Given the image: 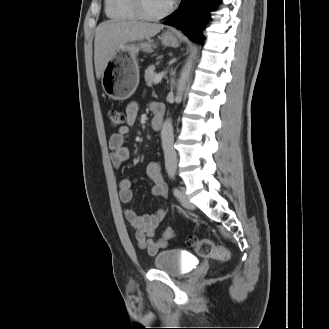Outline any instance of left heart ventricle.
<instances>
[{
	"label": "left heart ventricle",
	"mask_w": 329,
	"mask_h": 329,
	"mask_svg": "<svg viewBox=\"0 0 329 329\" xmlns=\"http://www.w3.org/2000/svg\"><path fill=\"white\" fill-rule=\"evenodd\" d=\"M169 0H143V5L148 13L159 14L170 5Z\"/></svg>",
	"instance_id": "1"
}]
</instances>
